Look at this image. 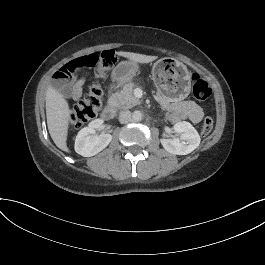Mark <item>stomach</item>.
I'll return each instance as SVG.
<instances>
[{"label": "stomach", "instance_id": "1", "mask_svg": "<svg viewBox=\"0 0 265 265\" xmlns=\"http://www.w3.org/2000/svg\"><path fill=\"white\" fill-rule=\"evenodd\" d=\"M138 65L133 61H122L113 70L112 77L118 82H127L137 73ZM152 78L162 96L170 101L185 99L191 90L190 72L178 60L170 57L156 61Z\"/></svg>", "mask_w": 265, "mask_h": 265}]
</instances>
